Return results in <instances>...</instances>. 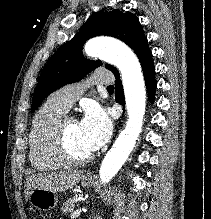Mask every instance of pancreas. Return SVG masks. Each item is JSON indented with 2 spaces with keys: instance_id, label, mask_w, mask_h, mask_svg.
Returning <instances> with one entry per match:
<instances>
[{
  "instance_id": "pancreas-1",
  "label": "pancreas",
  "mask_w": 211,
  "mask_h": 219,
  "mask_svg": "<svg viewBox=\"0 0 211 219\" xmlns=\"http://www.w3.org/2000/svg\"><path fill=\"white\" fill-rule=\"evenodd\" d=\"M78 197H79V195H75V196L69 198L68 200H66V202L63 203V206L61 208L62 212H64L65 214L72 213L74 210V206H75V200Z\"/></svg>"
}]
</instances>
